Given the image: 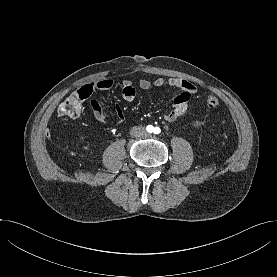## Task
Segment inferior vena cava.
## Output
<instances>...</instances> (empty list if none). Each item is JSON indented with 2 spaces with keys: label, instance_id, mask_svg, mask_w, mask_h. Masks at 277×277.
Segmentation results:
<instances>
[{
  "label": "inferior vena cava",
  "instance_id": "1",
  "mask_svg": "<svg viewBox=\"0 0 277 277\" xmlns=\"http://www.w3.org/2000/svg\"><path fill=\"white\" fill-rule=\"evenodd\" d=\"M145 134H146L145 129L142 128V127L133 128L131 130V135L134 136V137H140V136H143Z\"/></svg>",
  "mask_w": 277,
  "mask_h": 277
}]
</instances>
